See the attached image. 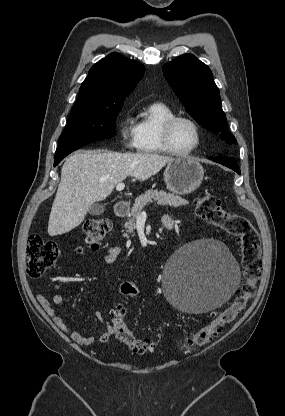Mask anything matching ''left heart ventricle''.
Segmentation results:
<instances>
[{"mask_svg": "<svg viewBox=\"0 0 285 416\" xmlns=\"http://www.w3.org/2000/svg\"><path fill=\"white\" fill-rule=\"evenodd\" d=\"M173 146L180 151L191 149L196 144V132L193 126L185 121H177L171 131Z\"/></svg>", "mask_w": 285, "mask_h": 416, "instance_id": "b2bd125f", "label": "left heart ventricle"}]
</instances>
